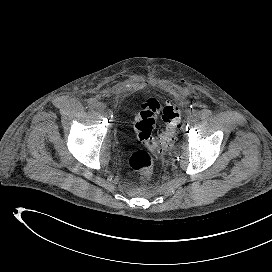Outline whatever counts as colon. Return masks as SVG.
Masks as SVG:
<instances>
[{"label":"colon","mask_w":272,"mask_h":272,"mask_svg":"<svg viewBox=\"0 0 272 272\" xmlns=\"http://www.w3.org/2000/svg\"><path fill=\"white\" fill-rule=\"evenodd\" d=\"M161 112L163 127L154 132L157 115ZM138 138L151 151L169 149L176 139L180 128V109L171 104L162 106L155 99H148L133 119ZM129 166L144 177H149L153 171V158L147 150H137L129 158Z\"/></svg>","instance_id":"5ec220e1"}]
</instances>
